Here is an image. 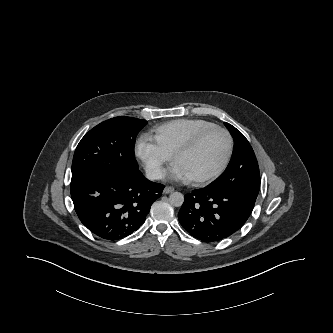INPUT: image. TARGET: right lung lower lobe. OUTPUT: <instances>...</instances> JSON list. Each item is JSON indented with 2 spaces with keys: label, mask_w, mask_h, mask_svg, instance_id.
Instances as JSON below:
<instances>
[{
  "label": "right lung lower lobe",
  "mask_w": 333,
  "mask_h": 333,
  "mask_svg": "<svg viewBox=\"0 0 333 333\" xmlns=\"http://www.w3.org/2000/svg\"><path fill=\"white\" fill-rule=\"evenodd\" d=\"M164 186L139 170L126 176L93 174L71 181V198L81 222L96 236L117 241L145 222Z\"/></svg>",
  "instance_id": "98d812e1"
}]
</instances>
